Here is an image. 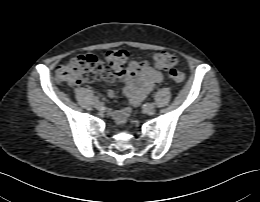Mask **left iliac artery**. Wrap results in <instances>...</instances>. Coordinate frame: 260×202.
I'll use <instances>...</instances> for the list:
<instances>
[{
	"mask_svg": "<svg viewBox=\"0 0 260 202\" xmlns=\"http://www.w3.org/2000/svg\"><path fill=\"white\" fill-rule=\"evenodd\" d=\"M147 105H154V103H146V106H147Z\"/></svg>",
	"mask_w": 260,
	"mask_h": 202,
	"instance_id": "obj_1",
	"label": "left iliac artery"
}]
</instances>
